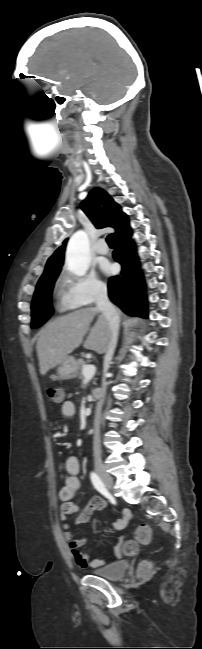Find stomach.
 Masks as SVG:
<instances>
[{
	"mask_svg": "<svg viewBox=\"0 0 202 649\" xmlns=\"http://www.w3.org/2000/svg\"><path fill=\"white\" fill-rule=\"evenodd\" d=\"M78 369V361L73 356H68L58 367L57 374L61 379H70L76 377Z\"/></svg>",
	"mask_w": 202,
	"mask_h": 649,
	"instance_id": "0dacf381",
	"label": "stomach"
}]
</instances>
